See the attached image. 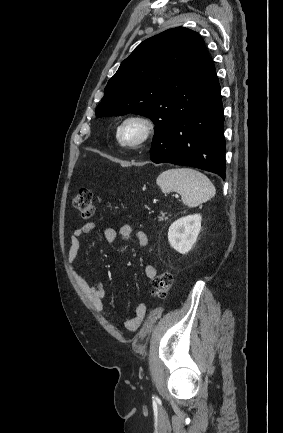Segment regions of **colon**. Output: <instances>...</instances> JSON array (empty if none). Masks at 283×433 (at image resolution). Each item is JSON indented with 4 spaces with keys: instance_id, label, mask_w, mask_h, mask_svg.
I'll return each mask as SVG.
<instances>
[{
    "instance_id": "obj_1",
    "label": "colon",
    "mask_w": 283,
    "mask_h": 433,
    "mask_svg": "<svg viewBox=\"0 0 283 433\" xmlns=\"http://www.w3.org/2000/svg\"><path fill=\"white\" fill-rule=\"evenodd\" d=\"M72 206L84 219H89L94 213L93 194L90 189L81 188L72 198ZM173 285V274L165 270L158 274L152 284V294L158 298H164Z\"/></svg>"
}]
</instances>
